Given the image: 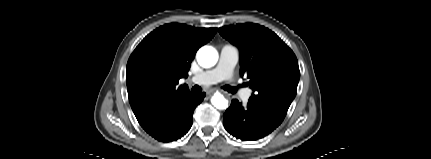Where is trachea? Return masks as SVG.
<instances>
[{
    "instance_id": "obj_1",
    "label": "trachea",
    "mask_w": 431,
    "mask_h": 159,
    "mask_svg": "<svg viewBox=\"0 0 431 159\" xmlns=\"http://www.w3.org/2000/svg\"><path fill=\"white\" fill-rule=\"evenodd\" d=\"M223 89H225L229 93H235L236 92V88L231 87V86H224ZM191 90L193 93H201L202 92V88L198 85H195L194 87H192Z\"/></svg>"
}]
</instances>
